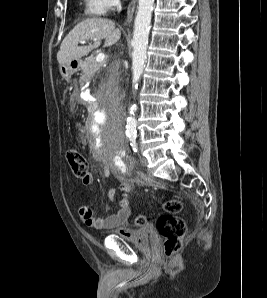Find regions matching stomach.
Returning a JSON list of instances; mask_svg holds the SVG:
<instances>
[{"label": "stomach", "mask_w": 267, "mask_h": 298, "mask_svg": "<svg viewBox=\"0 0 267 298\" xmlns=\"http://www.w3.org/2000/svg\"><path fill=\"white\" fill-rule=\"evenodd\" d=\"M81 66V60H72L65 64L60 65L59 71L61 76L68 80L72 76V74Z\"/></svg>", "instance_id": "stomach-1"}]
</instances>
